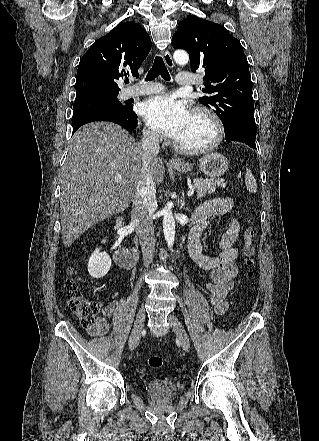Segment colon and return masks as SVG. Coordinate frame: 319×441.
Listing matches in <instances>:
<instances>
[{
	"mask_svg": "<svg viewBox=\"0 0 319 441\" xmlns=\"http://www.w3.org/2000/svg\"><path fill=\"white\" fill-rule=\"evenodd\" d=\"M244 247L243 256L244 263L248 267V276H252L251 267L254 264V237L255 231L251 226H248L243 231ZM65 290L67 294V301L70 309L78 318L80 324L85 328H91L96 321V315L99 311L97 303L87 300L81 290L78 288L73 279H69L65 283ZM148 365L152 369H159L163 365V359L160 356H152L148 359Z\"/></svg>",
	"mask_w": 319,
	"mask_h": 441,
	"instance_id": "obj_1",
	"label": "colon"
}]
</instances>
